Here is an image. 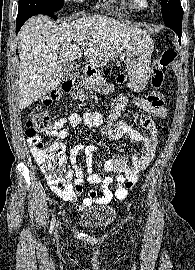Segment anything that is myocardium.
I'll list each match as a JSON object with an SVG mask.
<instances>
[{
	"label": "myocardium",
	"mask_w": 195,
	"mask_h": 270,
	"mask_svg": "<svg viewBox=\"0 0 195 270\" xmlns=\"http://www.w3.org/2000/svg\"><path fill=\"white\" fill-rule=\"evenodd\" d=\"M145 6H149L152 0H143Z\"/></svg>",
	"instance_id": "f54148a6"
}]
</instances>
